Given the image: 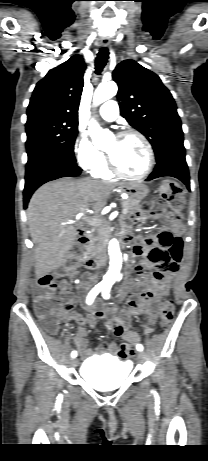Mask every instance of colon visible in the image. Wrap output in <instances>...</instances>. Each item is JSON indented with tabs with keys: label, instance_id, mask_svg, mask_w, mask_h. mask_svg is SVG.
<instances>
[{
	"label": "colon",
	"instance_id": "colon-1",
	"mask_svg": "<svg viewBox=\"0 0 208 461\" xmlns=\"http://www.w3.org/2000/svg\"><path fill=\"white\" fill-rule=\"evenodd\" d=\"M158 200L145 203L143 209L151 215H156L161 212H168L169 219L176 221L180 219L179 209L182 205V189L174 181L166 180L159 188ZM146 251H165L152 250L150 245L146 246ZM58 284L51 276H45L32 284L33 302L36 313L42 321L45 329L56 334L59 330V308L60 300L55 295ZM160 321L163 325H168L172 322L174 316V307L171 300H165L159 309ZM139 345L137 340H124L123 344L119 345V350L125 352L127 356H133L135 348Z\"/></svg>",
	"mask_w": 208,
	"mask_h": 461
}]
</instances>
